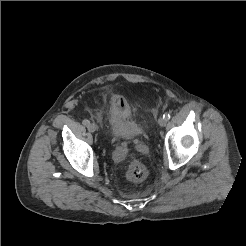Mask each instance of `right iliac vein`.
<instances>
[{"mask_svg":"<svg viewBox=\"0 0 246 246\" xmlns=\"http://www.w3.org/2000/svg\"><path fill=\"white\" fill-rule=\"evenodd\" d=\"M97 129V126L94 123H91L88 125V130L92 133H94Z\"/></svg>","mask_w":246,"mask_h":246,"instance_id":"1","label":"right iliac vein"}]
</instances>
